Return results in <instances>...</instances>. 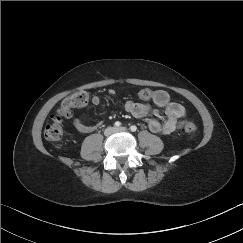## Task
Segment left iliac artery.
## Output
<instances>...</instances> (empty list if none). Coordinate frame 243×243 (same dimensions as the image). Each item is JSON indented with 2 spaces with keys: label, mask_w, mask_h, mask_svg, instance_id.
<instances>
[{
  "label": "left iliac artery",
  "mask_w": 243,
  "mask_h": 243,
  "mask_svg": "<svg viewBox=\"0 0 243 243\" xmlns=\"http://www.w3.org/2000/svg\"><path fill=\"white\" fill-rule=\"evenodd\" d=\"M130 130H131L132 132H135V131L137 130V127H136L135 125H132V126L130 127Z\"/></svg>",
  "instance_id": "1"
}]
</instances>
